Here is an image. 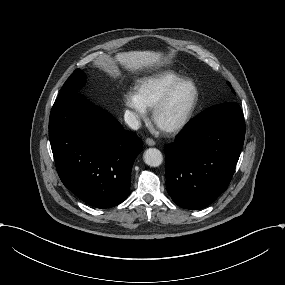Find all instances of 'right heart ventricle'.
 Wrapping results in <instances>:
<instances>
[{"mask_svg":"<svg viewBox=\"0 0 285 285\" xmlns=\"http://www.w3.org/2000/svg\"><path fill=\"white\" fill-rule=\"evenodd\" d=\"M181 79L183 77L174 72H158L141 80L136 87V92L145 106L151 110L154 109L169 88Z\"/></svg>","mask_w":285,"mask_h":285,"instance_id":"e07e8e85","label":"right heart ventricle"}]
</instances>
